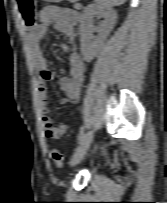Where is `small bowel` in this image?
Returning a JSON list of instances; mask_svg holds the SVG:
<instances>
[{"instance_id": "1", "label": "small bowel", "mask_w": 167, "mask_h": 203, "mask_svg": "<svg viewBox=\"0 0 167 203\" xmlns=\"http://www.w3.org/2000/svg\"><path fill=\"white\" fill-rule=\"evenodd\" d=\"M79 22V14L68 8L58 6L45 7L39 14V25L28 35V45L33 63L38 72V92L42 112V125L44 134L49 139H58L66 133L68 125L61 123L54 126L48 116V93L47 83L53 79L48 61L44 55L42 41L47 27L54 25L57 31L64 34L68 42L62 44V49L67 54L69 63V76L60 79V87L65 98L61 103L76 104L80 97L81 86L84 80L85 64L75 49L76 26Z\"/></svg>"}]
</instances>
